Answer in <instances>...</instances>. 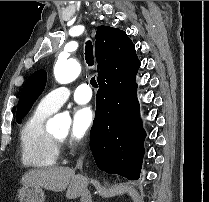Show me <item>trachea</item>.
<instances>
[{
    "instance_id": "obj_1",
    "label": "trachea",
    "mask_w": 209,
    "mask_h": 202,
    "mask_svg": "<svg viewBox=\"0 0 209 202\" xmlns=\"http://www.w3.org/2000/svg\"><path fill=\"white\" fill-rule=\"evenodd\" d=\"M85 60L88 64V66H93L94 65V56H93V46L91 41L86 42V47H85ZM90 84L94 87L97 88L98 84L96 82L95 76L90 79Z\"/></svg>"
}]
</instances>
